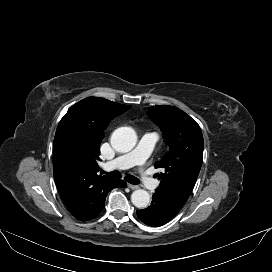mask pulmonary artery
<instances>
[{"instance_id":"1","label":"pulmonary artery","mask_w":272,"mask_h":272,"mask_svg":"<svg viewBox=\"0 0 272 272\" xmlns=\"http://www.w3.org/2000/svg\"><path fill=\"white\" fill-rule=\"evenodd\" d=\"M158 138L159 136L157 133H146L140 139L138 145L133 151L115 158L114 160L106 163L104 167L107 170L126 169L133 166L142 167L146 164ZM140 181L148 190H154L158 185V181L153 179L146 170H141Z\"/></svg>"}]
</instances>
